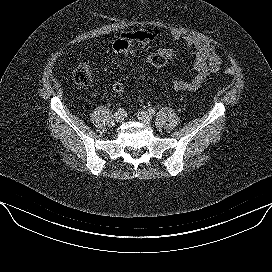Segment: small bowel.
<instances>
[{
	"instance_id": "1",
	"label": "small bowel",
	"mask_w": 272,
	"mask_h": 272,
	"mask_svg": "<svg viewBox=\"0 0 272 272\" xmlns=\"http://www.w3.org/2000/svg\"><path fill=\"white\" fill-rule=\"evenodd\" d=\"M171 37L174 40H183L188 49L195 50L193 68L196 76L191 81L176 80L173 82V89L181 92H194L198 90L210 74L216 73L222 64V59L214 45L196 38L190 34L173 32ZM141 44L134 38V32H125L114 41L112 49L117 54L127 55L134 58ZM158 53L163 54L167 59L174 55L171 48H159Z\"/></svg>"
}]
</instances>
